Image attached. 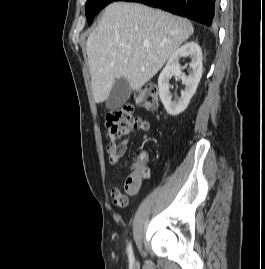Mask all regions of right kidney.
<instances>
[{
  "mask_svg": "<svg viewBox=\"0 0 265 269\" xmlns=\"http://www.w3.org/2000/svg\"><path fill=\"white\" fill-rule=\"evenodd\" d=\"M188 56L191 58L189 66L192 71L186 76L181 72L179 61L182 57ZM202 72V50L196 42H187L172 54L158 78L159 96L168 114L177 116L187 108L196 92ZM173 75L179 76L185 85V89L181 91V97L174 101L171 100L169 91V81Z\"/></svg>",
  "mask_w": 265,
  "mask_h": 269,
  "instance_id": "ca27d5eb",
  "label": "right kidney"
}]
</instances>
